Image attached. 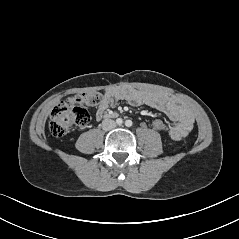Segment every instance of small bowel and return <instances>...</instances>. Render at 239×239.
Segmentation results:
<instances>
[{
  "mask_svg": "<svg viewBox=\"0 0 239 239\" xmlns=\"http://www.w3.org/2000/svg\"><path fill=\"white\" fill-rule=\"evenodd\" d=\"M120 100H125L132 105L144 104L166 114L174 122L173 126L167 125V133L174 141L185 138L193 128L194 117L192 113L174 96L129 86L107 90L97 108L96 118H103L107 109Z\"/></svg>",
  "mask_w": 239,
  "mask_h": 239,
  "instance_id": "1",
  "label": "small bowel"
}]
</instances>
